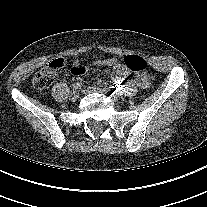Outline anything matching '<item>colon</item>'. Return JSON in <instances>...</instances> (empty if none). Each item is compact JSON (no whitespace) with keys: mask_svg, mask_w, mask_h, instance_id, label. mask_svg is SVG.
I'll return each mask as SVG.
<instances>
[{"mask_svg":"<svg viewBox=\"0 0 207 207\" xmlns=\"http://www.w3.org/2000/svg\"><path fill=\"white\" fill-rule=\"evenodd\" d=\"M126 67L132 72L146 70V61L137 55H128L125 58ZM65 66V60L57 58L51 61L48 66L39 70L33 77V85L37 90H46L55 80L57 70Z\"/></svg>","mask_w":207,"mask_h":207,"instance_id":"colon-1","label":"colon"}]
</instances>
